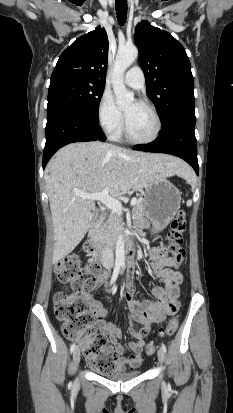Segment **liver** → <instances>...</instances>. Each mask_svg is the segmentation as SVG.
Listing matches in <instances>:
<instances>
[{"instance_id":"obj_1","label":"liver","mask_w":233,"mask_h":413,"mask_svg":"<svg viewBox=\"0 0 233 413\" xmlns=\"http://www.w3.org/2000/svg\"><path fill=\"white\" fill-rule=\"evenodd\" d=\"M182 160L137 152L108 143L78 142L61 148L46 167L45 182L54 232L52 262L70 254L90 228L93 200L75 194L109 189L111 197L141 190L156 179L184 176Z\"/></svg>"}]
</instances>
